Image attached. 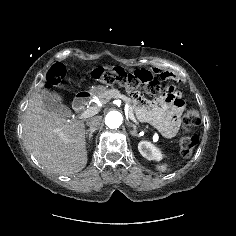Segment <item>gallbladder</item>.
Segmentation results:
<instances>
[{
  "instance_id": "gallbladder-1",
  "label": "gallbladder",
  "mask_w": 236,
  "mask_h": 236,
  "mask_svg": "<svg viewBox=\"0 0 236 236\" xmlns=\"http://www.w3.org/2000/svg\"><path fill=\"white\" fill-rule=\"evenodd\" d=\"M36 93L47 110L53 111L61 116H66L70 113V109L59 104L47 90L40 89Z\"/></svg>"
}]
</instances>
